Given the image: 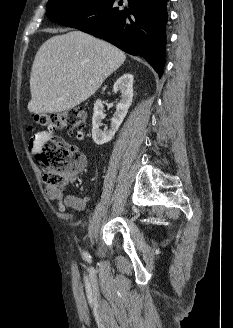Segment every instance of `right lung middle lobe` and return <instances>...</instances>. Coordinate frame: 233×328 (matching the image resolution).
Instances as JSON below:
<instances>
[{
	"label": "right lung middle lobe",
	"mask_w": 233,
	"mask_h": 328,
	"mask_svg": "<svg viewBox=\"0 0 233 328\" xmlns=\"http://www.w3.org/2000/svg\"><path fill=\"white\" fill-rule=\"evenodd\" d=\"M98 1L99 0H49L47 3L46 15L51 21L56 22Z\"/></svg>",
	"instance_id": "1"
}]
</instances>
